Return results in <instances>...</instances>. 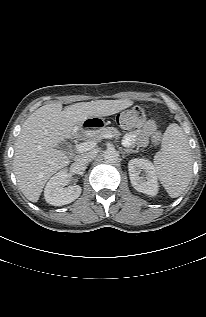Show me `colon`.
Returning <instances> with one entry per match:
<instances>
[{
	"label": "colon",
	"instance_id": "5ec220e1",
	"mask_svg": "<svg viewBox=\"0 0 206 317\" xmlns=\"http://www.w3.org/2000/svg\"><path fill=\"white\" fill-rule=\"evenodd\" d=\"M146 114L145 110L141 106H133L128 108L116 117L117 124L124 129L136 128L145 123ZM162 132L158 131L154 134V141L157 143L160 141Z\"/></svg>",
	"mask_w": 206,
	"mask_h": 317
}]
</instances>
